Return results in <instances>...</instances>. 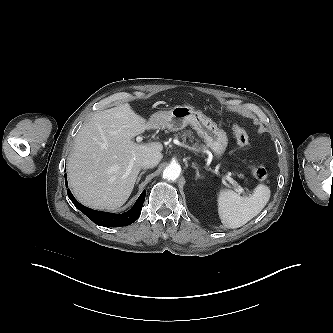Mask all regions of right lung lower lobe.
Wrapping results in <instances>:
<instances>
[{
  "label": "right lung lower lobe",
  "mask_w": 333,
  "mask_h": 333,
  "mask_svg": "<svg viewBox=\"0 0 333 333\" xmlns=\"http://www.w3.org/2000/svg\"><path fill=\"white\" fill-rule=\"evenodd\" d=\"M65 184L66 187H68L66 177ZM67 193L76 208H78L82 213H84L88 218H90L95 224L104 227L127 226L135 222L141 214L142 205L144 203L146 195V191L144 190L130 210L122 214H114L87 208L74 198L69 189L67 190Z\"/></svg>",
  "instance_id": "right-lung-lower-lobe-1"
}]
</instances>
